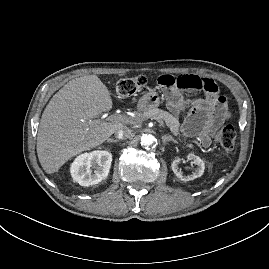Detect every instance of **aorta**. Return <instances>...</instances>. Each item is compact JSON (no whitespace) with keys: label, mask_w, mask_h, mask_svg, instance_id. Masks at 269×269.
<instances>
[{"label":"aorta","mask_w":269,"mask_h":269,"mask_svg":"<svg viewBox=\"0 0 269 269\" xmlns=\"http://www.w3.org/2000/svg\"><path fill=\"white\" fill-rule=\"evenodd\" d=\"M156 142V138L152 134H143L141 136V145L145 147L153 146Z\"/></svg>","instance_id":"762f6f07"}]
</instances>
